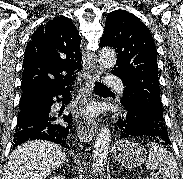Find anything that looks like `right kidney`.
<instances>
[{
  "label": "right kidney",
  "instance_id": "right-kidney-1",
  "mask_svg": "<svg viewBox=\"0 0 183 179\" xmlns=\"http://www.w3.org/2000/svg\"><path fill=\"white\" fill-rule=\"evenodd\" d=\"M50 179H64V178L62 176L58 175V176L51 177Z\"/></svg>",
  "mask_w": 183,
  "mask_h": 179
}]
</instances>
